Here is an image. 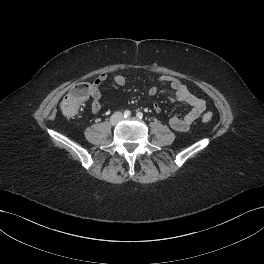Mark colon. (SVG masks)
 <instances>
[{
	"label": "colon",
	"instance_id": "obj_1",
	"mask_svg": "<svg viewBox=\"0 0 264 264\" xmlns=\"http://www.w3.org/2000/svg\"><path fill=\"white\" fill-rule=\"evenodd\" d=\"M93 93V86L90 83H81L74 87L62 100L61 111L67 117L75 116L80 106L89 98ZM212 114L207 112L203 115L204 122H210Z\"/></svg>",
	"mask_w": 264,
	"mask_h": 264
}]
</instances>
